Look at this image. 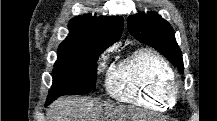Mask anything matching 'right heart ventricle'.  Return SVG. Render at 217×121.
Listing matches in <instances>:
<instances>
[{
    "label": "right heart ventricle",
    "mask_w": 217,
    "mask_h": 121,
    "mask_svg": "<svg viewBox=\"0 0 217 121\" xmlns=\"http://www.w3.org/2000/svg\"><path fill=\"white\" fill-rule=\"evenodd\" d=\"M171 80L172 70L166 59L141 48L111 70L106 87L118 101L162 110L172 103L168 92Z\"/></svg>",
    "instance_id": "obj_1"
}]
</instances>
